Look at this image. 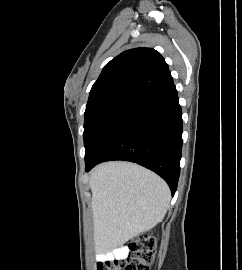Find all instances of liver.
<instances>
[{
    "mask_svg": "<svg viewBox=\"0 0 242 270\" xmlns=\"http://www.w3.org/2000/svg\"><path fill=\"white\" fill-rule=\"evenodd\" d=\"M92 191L94 240L98 249H112L161 222L171 199L168 185L150 170L129 162L96 166Z\"/></svg>",
    "mask_w": 242,
    "mask_h": 270,
    "instance_id": "1",
    "label": "liver"
}]
</instances>
